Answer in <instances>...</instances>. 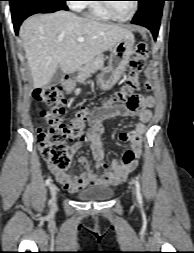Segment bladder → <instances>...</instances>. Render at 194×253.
<instances>
[{"label": "bladder", "instance_id": "bladder-1", "mask_svg": "<svg viewBox=\"0 0 194 253\" xmlns=\"http://www.w3.org/2000/svg\"><path fill=\"white\" fill-rule=\"evenodd\" d=\"M114 190L106 185H95L82 189L76 194V198L85 202L106 201L112 198Z\"/></svg>", "mask_w": 194, "mask_h": 253}]
</instances>
